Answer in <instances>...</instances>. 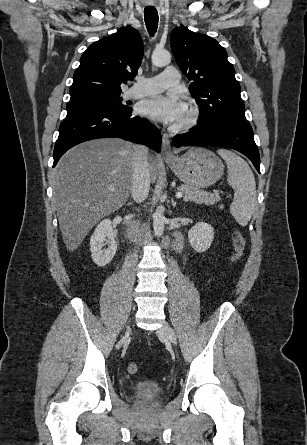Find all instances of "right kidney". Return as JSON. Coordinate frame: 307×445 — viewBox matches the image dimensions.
Returning a JSON list of instances; mask_svg holds the SVG:
<instances>
[{
	"label": "right kidney",
	"instance_id": "ca27d5eb",
	"mask_svg": "<svg viewBox=\"0 0 307 445\" xmlns=\"http://www.w3.org/2000/svg\"><path fill=\"white\" fill-rule=\"evenodd\" d=\"M115 237H117V233L112 229L110 218L101 220V223L97 225L90 241L92 259L98 267H105V265H108V263L112 261L117 251ZM104 241H106L108 249L102 251Z\"/></svg>",
	"mask_w": 307,
	"mask_h": 445
}]
</instances>
